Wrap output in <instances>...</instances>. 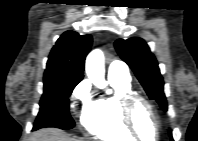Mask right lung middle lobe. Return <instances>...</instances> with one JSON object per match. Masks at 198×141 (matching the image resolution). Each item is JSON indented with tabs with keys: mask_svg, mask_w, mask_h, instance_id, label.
I'll return each mask as SVG.
<instances>
[{
	"mask_svg": "<svg viewBox=\"0 0 198 141\" xmlns=\"http://www.w3.org/2000/svg\"><path fill=\"white\" fill-rule=\"evenodd\" d=\"M80 81L81 79L76 78L44 79V92L33 130L43 127H74V121L69 114V96Z\"/></svg>",
	"mask_w": 198,
	"mask_h": 141,
	"instance_id": "dd1d6c3e",
	"label": "right lung middle lobe"
}]
</instances>
